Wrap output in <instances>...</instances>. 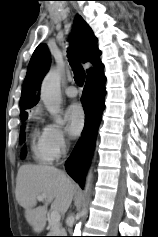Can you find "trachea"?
Here are the masks:
<instances>
[{"label":"trachea","mask_w":158,"mask_h":237,"mask_svg":"<svg viewBox=\"0 0 158 237\" xmlns=\"http://www.w3.org/2000/svg\"><path fill=\"white\" fill-rule=\"evenodd\" d=\"M68 52H69V54H68L69 62H70V65L72 66L73 71H74V80L77 85L82 86L85 81V72L83 71L82 67L80 66L78 57L73 52V50L70 49Z\"/></svg>","instance_id":"obj_1"}]
</instances>
